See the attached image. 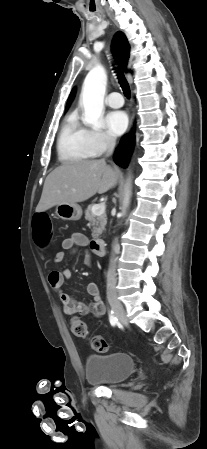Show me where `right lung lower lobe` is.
I'll use <instances>...</instances> for the list:
<instances>
[{
  "label": "right lung lower lobe",
  "mask_w": 207,
  "mask_h": 449,
  "mask_svg": "<svg viewBox=\"0 0 207 449\" xmlns=\"http://www.w3.org/2000/svg\"><path fill=\"white\" fill-rule=\"evenodd\" d=\"M134 145V134L131 133L128 136H124L120 141V147H118L114 154V161L116 164L122 167H127L129 157L132 153Z\"/></svg>",
  "instance_id": "98d812e1"
}]
</instances>
